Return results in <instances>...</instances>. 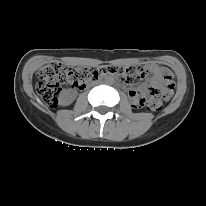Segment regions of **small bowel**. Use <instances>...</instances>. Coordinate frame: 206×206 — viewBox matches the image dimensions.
Instances as JSON below:
<instances>
[{
	"label": "small bowel",
	"instance_id": "1",
	"mask_svg": "<svg viewBox=\"0 0 206 206\" xmlns=\"http://www.w3.org/2000/svg\"><path fill=\"white\" fill-rule=\"evenodd\" d=\"M150 71L153 74L155 81L162 80L166 75H170V72L166 68L158 65H151ZM144 90V86L139 89L130 88L129 95L133 99V101H135L138 96H140L144 92Z\"/></svg>",
	"mask_w": 206,
	"mask_h": 206
}]
</instances>
